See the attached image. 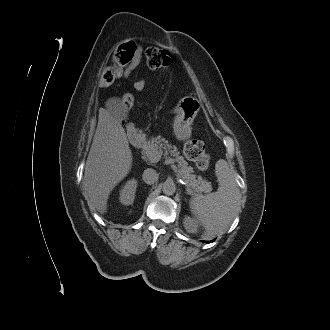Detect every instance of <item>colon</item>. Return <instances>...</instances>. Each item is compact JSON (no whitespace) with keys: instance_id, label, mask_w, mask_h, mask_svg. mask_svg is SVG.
<instances>
[{"instance_id":"obj_1","label":"colon","mask_w":330,"mask_h":330,"mask_svg":"<svg viewBox=\"0 0 330 330\" xmlns=\"http://www.w3.org/2000/svg\"><path fill=\"white\" fill-rule=\"evenodd\" d=\"M135 54V43L128 42L119 46L113 53L111 63L106 66L100 75V82L108 86L117 78L119 70L126 67ZM146 64L150 69H159L171 63V55L167 50L151 47L145 52ZM121 103L126 109H131L134 104V97L131 93H124L121 96ZM186 157L192 160L199 170H206L210 164L209 155L205 145L199 140H188L184 144Z\"/></svg>"}]
</instances>
